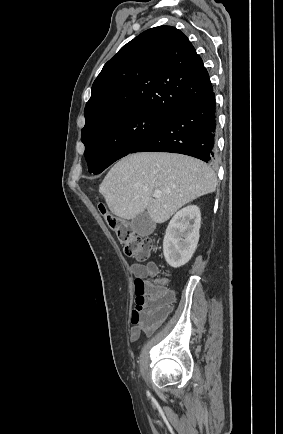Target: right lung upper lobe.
I'll return each mask as SVG.
<instances>
[{
    "instance_id": "1",
    "label": "right lung upper lobe",
    "mask_w": 283,
    "mask_h": 434,
    "mask_svg": "<svg viewBox=\"0 0 283 434\" xmlns=\"http://www.w3.org/2000/svg\"><path fill=\"white\" fill-rule=\"evenodd\" d=\"M213 90L201 57L178 29H148L103 67L86 103L82 130L135 111L172 116Z\"/></svg>"
}]
</instances>
